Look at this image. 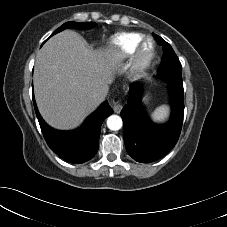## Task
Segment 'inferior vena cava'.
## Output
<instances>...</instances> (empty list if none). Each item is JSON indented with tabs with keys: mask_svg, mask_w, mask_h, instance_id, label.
Wrapping results in <instances>:
<instances>
[{
	"mask_svg": "<svg viewBox=\"0 0 227 227\" xmlns=\"http://www.w3.org/2000/svg\"><path fill=\"white\" fill-rule=\"evenodd\" d=\"M107 95L105 90L96 91L93 93L92 98L96 103L102 102Z\"/></svg>",
	"mask_w": 227,
	"mask_h": 227,
	"instance_id": "obj_1",
	"label": "inferior vena cava"
}]
</instances>
